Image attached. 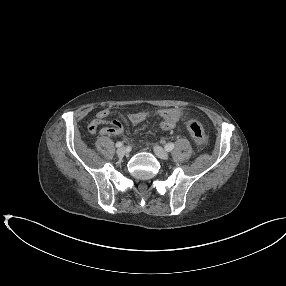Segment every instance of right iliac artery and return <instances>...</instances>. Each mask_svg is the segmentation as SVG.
<instances>
[{"label": "right iliac artery", "mask_w": 286, "mask_h": 286, "mask_svg": "<svg viewBox=\"0 0 286 286\" xmlns=\"http://www.w3.org/2000/svg\"><path fill=\"white\" fill-rule=\"evenodd\" d=\"M122 146H123V143H122V142H117V143H116V147H117V148L122 147Z\"/></svg>", "instance_id": "obj_1"}]
</instances>
